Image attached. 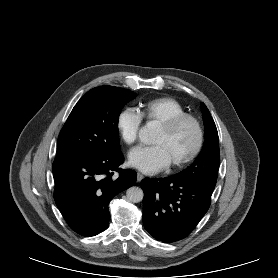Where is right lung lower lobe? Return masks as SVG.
<instances>
[{
    "instance_id": "98d812e1",
    "label": "right lung lower lobe",
    "mask_w": 278,
    "mask_h": 278,
    "mask_svg": "<svg viewBox=\"0 0 278 278\" xmlns=\"http://www.w3.org/2000/svg\"><path fill=\"white\" fill-rule=\"evenodd\" d=\"M121 151L54 161V199L68 225L82 236L107 229L108 205L113 197L134 185L136 172L122 170ZM119 172L118 178L113 174Z\"/></svg>"
}]
</instances>
